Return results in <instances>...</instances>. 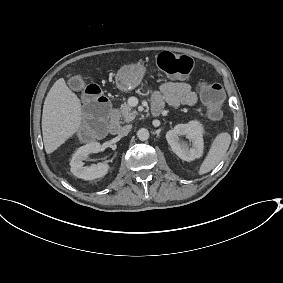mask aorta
Segmentation results:
<instances>
[{"label": "aorta", "mask_w": 283, "mask_h": 283, "mask_svg": "<svg viewBox=\"0 0 283 283\" xmlns=\"http://www.w3.org/2000/svg\"><path fill=\"white\" fill-rule=\"evenodd\" d=\"M137 137L139 138V140L145 141L149 138V131L146 128H140L137 131Z\"/></svg>", "instance_id": "1"}]
</instances>
